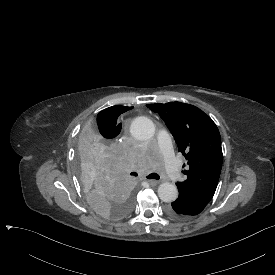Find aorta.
Here are the masks:
<instances>
[{
	"mask_svg": "<svg viewBox=\"0 0 275 275\" xmlns=\"http://www.w3.org/2000/svg\"><path fill=\"white\" fill-rule=\"evenodd\" d=\"M130 132L134 138L145 141L154 136L155 126L152 120L140 116L132 121ZM158 196L163 202H173L178 197L177 187L169 182L162 183L158 187Z\"/></svg>",
	"mask_w": 275,
	"mask_h": 275,
	"instance_id": "762f6f07",
	"label": "aorta"
}]
</instances>
